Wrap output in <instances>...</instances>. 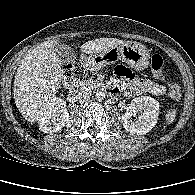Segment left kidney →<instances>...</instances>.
Wrapping results in <instances>:
<instances>
[{
    "label": "left kidney",
    "instance_id": "left-kidney-1",
    "mask_svg": "<svg viewBox=\"0 0 195 195\" xmlns=\"http://www.w3.org/2000/svg\"><path fill=\"white\" fill-rule=\"evenodd\" d=\"M159 107V102L152 97L140 96L134 98L129 110L122 115L125 130L137 135L148 133L157 123ZM137 113L140 115L135 121L132 117Z\"/></svg>",
    "mask_w": 195,
    "mask_h": 195
}]
</instances>
